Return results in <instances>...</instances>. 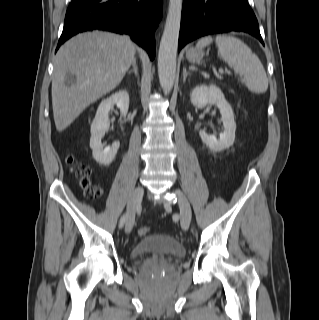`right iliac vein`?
Here are the masks:
<instances>
[{"mask_svg":"<svg viewBox=\"0 0 319 320\" xmlns=\"http://www.w3.org/2000/svg\"><path fill=\"white\" fill-rule=\"evenodd\" d=\"M144 194V189L142 186H138L133 191L130 200L127 206V215H126V223H125V230L126 233H130L135 222V212L138 206L141 203L142 197Z\"/></svg>","mask_w":319,"mask_h":320,"instance_id":"1","label":"right iliac vein"}]
</instances>
